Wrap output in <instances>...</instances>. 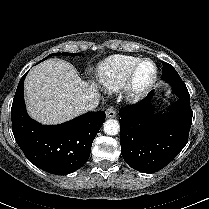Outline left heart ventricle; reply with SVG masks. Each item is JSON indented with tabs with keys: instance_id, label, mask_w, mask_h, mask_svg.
Listing matches in <instances>:
<instances>
[{
	"instance_id": "1",
	"label": "left heart ventricle",
	"mask_w": 209,
	"mask_h": 209,
	"mask_svg": "<svg viewBox=\"0 0 209 209\" xmlns=\"http://www.w3.org/2000/svg\"><path fill=\"white\" fill-rule=\"evenodd\" d=\"M153 75V65L149 62H145L140 66L137 72L136 81L139 85H146L152 80Z\"/></svg>"
}]
</instances>
